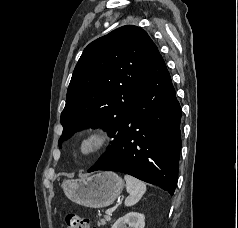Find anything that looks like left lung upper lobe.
<instances>
[{
  "label": "left lung upper lobe",
  "mask_w": 238,
  "mask_h": 228,
  "mask_svg": "<svg viewBox=\"0 0 238 228\" xmlns=\"http://www.w3.org/2000/svg\"><path fill=\"white\" fill-rule=\"evenodd\" d=\"M158 54L146 31L133 25L122 26L91 42L82 53L67 90L59 141L85 127H101L114 140L96 164L110 159L121 124Z\"/></svg>",
  "instance_id": "1"
}]
</instances>
